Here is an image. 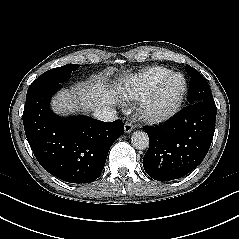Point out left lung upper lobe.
Here are the masks:
<instances>
[{"instance_id":"left-lung-upper-lobe-1","label":"left lung upper lobe","mask_w":239,"mask_h":239,"mask_svg":"<svg viewBox=\"0 0 239 239\" xmlns=\"http://www.w3.org/2000/svg\"><path fill=\"white\" fill-rule=\"evenodd\" d=\"M185 70L191 77L187 97L189 104L214 100L206 79L190 65H186Z\"/></svg>"}]
</instances>
